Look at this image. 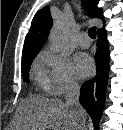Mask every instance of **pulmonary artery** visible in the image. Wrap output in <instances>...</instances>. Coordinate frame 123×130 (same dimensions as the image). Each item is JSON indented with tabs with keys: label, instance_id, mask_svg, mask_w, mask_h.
Instances as JSON below:
<instances>
[{
	"label": "pulmonary artery",
	"instance_id": "e3ab8cb5",
	"mask_svg": "<svg viewBox=\"0 0 123 130\" xmlns=\"http://www.w3.org/2000/svg\"><path fill=\"white\" fill-rule=\"evenodd\" d=\"M77 43L82 48H88L90 46V39L86 33H81L77 37Z\"/></svg>",
	"mask_w": 123,
	"mask_h": 130
}]
</instances>
